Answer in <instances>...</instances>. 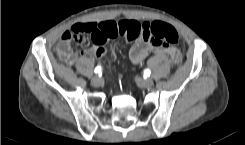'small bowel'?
<instances>
[{
  "mask_svg": "<svg viewBox=\"0 0 245 145\" xmlns=\"http://www.w3.org/2000/svg\"><path fill=\"white\" fill-rule=\"evenodd\" d=\"M122 21H135L132 19H123L120 21L115 20H102V21H89L85 24L93 26V29L96 32V35L93 37L94 48L84 49V50H72L70 45V40L65 38L67 31L63 34L62 40L57 46L58 55L63 58L62 49L67 48L69 50V56L63 58L68 65H73L77 59L83 56L95 55L97 57L102 56L105 53V48L111 38L109 33L112 30L118 28V25ZM136 22V21H135ZM151 53H167L170 56H173L174 50L163 45H156L150 42H145L138 40L129 51V58L133 63H140L144 58H146Z\"/></svg>",
  "mask_w": 245,
  "mask_h": 145,
  "instance_id": "1",
  "label": "small bowel"
}]
</instances>
